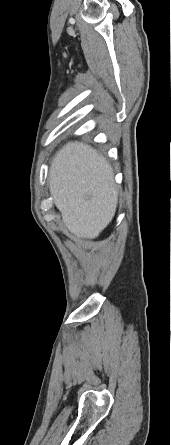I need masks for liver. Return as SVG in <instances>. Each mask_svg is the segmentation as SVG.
Masks as SVG:
<instances>
[{
    "label": "liver",
    "mask_w": 171,
    "mask_h": 445,
    "mask_svg": "<svg viewBox=\"0 0 171 445\" xmlns=\"http://www.w3.org/2000/svg\"><path fill=\"white\" fill-rule=\"evenodd\" d=\"M49 186L64 225L76 237H98L115 215L118 192L112 168L87 144L71 142L56 154Z\"/></svg>",
    "instance_id": "obj_1"
}]
</instances>
